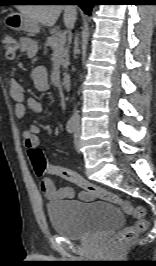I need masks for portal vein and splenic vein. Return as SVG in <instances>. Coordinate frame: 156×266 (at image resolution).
<instances>
[{"label":"portal vein and splenic vein","instance_id":"1","mask_svg":"<svg viewBox=\"0 0 156 266\" xmlns=\"http://www.w3.org/2000/svg\"><path fill=\"white\" fill-rule=\"evenodd\" d=\"M61 38H62V39H65V36H64V35H61Z\"/></svg>","mask_w":156,"mask_h":266}]
</instances>
